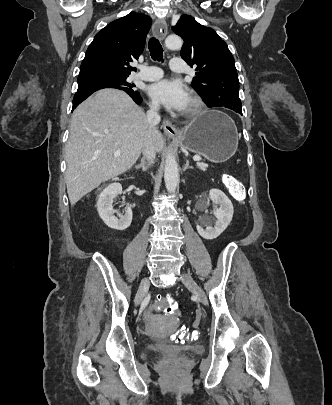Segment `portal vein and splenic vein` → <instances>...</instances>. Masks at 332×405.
<instances>
[{"instance_id": "1", "label": "portal vein and splenic vein", "mask_w": 332, "mask_h": 405, "mask_svg": "<svg viewBox=\"0 0 332 405\" xmlns=\"http://www.w3.org/2000/svg\"><path fill=\"white\" fill-rule=\"evenodd\" d=\"M114 155H115V156H119V155H120V150H116V151L114 152ZM193 160L199 162V161H201V158H200L199 156H194V157H193Z\"/></svg>"}]
</instances>
